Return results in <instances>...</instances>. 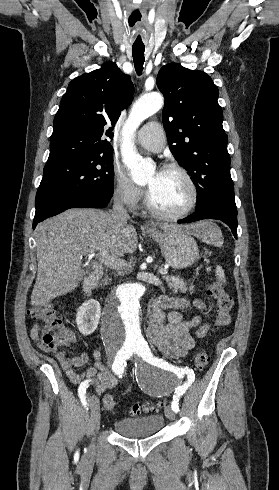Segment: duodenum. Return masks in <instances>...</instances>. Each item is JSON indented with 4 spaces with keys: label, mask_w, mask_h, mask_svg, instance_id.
Listing matches in <instances>:
<instances>
[{
    "label": "duodenum",
    "mask_w": 279,
    "mask_h": 490,
    "mask_svg": "<svg viewBox=\"0 0 279 490\" xmlns=\"http://www.w3.org/2000/svg\"><path fill=\"white\" fill-rule=\"evenodd\" d=\"M102 274H103L102 267L100 265H95L93 267V272L89 277L85 279L83 284V291L86 296L92 295Z\"/></svg>",
    "instance_id": "410a0bca"
}]
</instances>
